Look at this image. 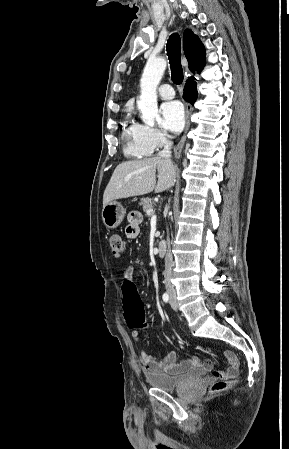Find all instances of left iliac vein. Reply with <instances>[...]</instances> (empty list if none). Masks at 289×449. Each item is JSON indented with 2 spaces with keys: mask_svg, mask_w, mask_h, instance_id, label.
Returning a JSON list of instances; mask_svg holds the SVG:
<instances>
[{
  "mask_svg": "<svg viewBox=\"0 0 289 449\" xmlns=\"http://www.w3.org/2000/svg\"><path fill=\"white\" fill-rule=\"evenodd\" d=\"M170 304H171V307H172L174 310H177V304H176V302H175L173 299H171Z\"/></svg>",
  "mask_w": 289,
  "mask_h": 449,
  "instance_id": "left-iliac-vein-1",
  "label": "left iliac vein"
}]
</instances>
